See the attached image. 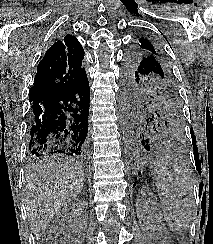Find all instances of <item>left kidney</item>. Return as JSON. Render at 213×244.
Here are the masks:
<instances>
[{"mask_svg":"<svg viewBox=\"0 0 213 244\" xmlns=\"http://www.w3.org/2000/svg\"><path fill=\"white\" fill-rule=\"evenodd\" d=\"M155 201L152 199V194L147 191H141V194L138 198V216L141 222L142 228L145 230L156 231L157 236L160 237L161 243L166 244V238L163 235L165 228L159 222V218L156 216L153 211L152 204Z\"/></svg>","mask_w":213,"mask_h":244,"instance_id":"obj_1","label":"left kidney"}]
</instances>
